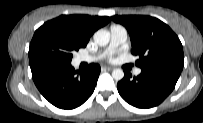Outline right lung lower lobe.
I'll return each mask as SVG.
<instances>
[{
    "label": "right lung lower lobe",
    "mask_w": 203,
    "mask_h": 123,
    "mask_svg": "<svg viewBox=\"0 0 203 123\" xmlns=\"http://www.w3.org/2000/svg\"><path fill=\"white\" fill-rule=\"evenodd\" d=\"M32 78L40 93L54 106L71 110L82 105L93 93L100 66L90 64L75 70L71 63L40 61L30 65Z\"/></svg>",
    "instance_id": "right-lung-lower-lobe-1"
}]
</instances>
